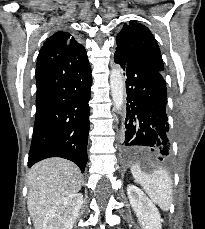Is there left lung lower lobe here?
Wrapping results in <instances>:
<instances>
[{"instance_id":"left-lung-lower-lobe-1","label":"left lung lower lobe","mask_w":205,"mask_h":229,"mask_svg":"<svg viewBox=\"0 0 205 229\" xmlns=\"http://www.w3.org/2000/svg\"><path fill=\"white\" fill-rule=\"evenodd\" d=\"M114 60L126 76L127 113L122 149L126 157L139 153L158 161L170 156V135L166 114L167 92L162 72L116 49Z\"/></svg>"}]
</instances>
